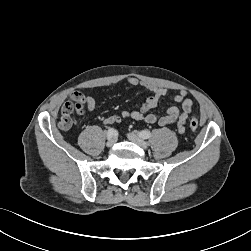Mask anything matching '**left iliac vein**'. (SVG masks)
Returning <instances> with one entry per match:
<instances>
[{"mask_svg": "<svg viewBox=\"0 0 251 251\" xmlns=\"http://www.w3.org/2000/svg\"><path fill=\"white\" fill-rule=\"evenodd\" d=\"M127 137L130 141L137 144L139 147H141L143 149L148 148V144L142 138H140L138 135H136L135 133H129L127 135Z\"/></svg>", "mask_w": 251, "mask_h": 251, "instance_id": "left-iliac-vein-1", "label": "left iliac vein"}]
</instances>
